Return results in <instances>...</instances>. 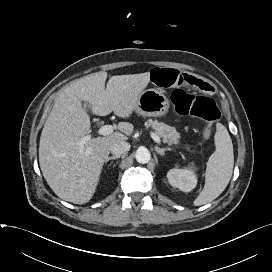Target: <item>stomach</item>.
<instances>
[{"label": "stomach", "mask_w": 272, "mask_h": 272, "mask_svg": "<svg viewBox=\"0 0 272 272\" xmlns=\"http://www.w3.org/2000/svg\"><path fill=\"white\" fill-rule=\"evenodd\" d=\"M169 106V100L163 92L157 89H147L140 94L135 111L142 116H164Z\"/></svg>", "instance_id": "stomach-1"}]
</instances>
